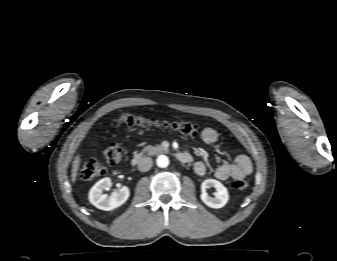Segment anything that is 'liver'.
Returning <instances> with one entry per match:
<instances>
[{
	"mask_svg": "<svg viewBox=\"0 0 337 261\" xmlns=\"http://www.w3.org/2000/svg\"><path fill=\"white\" fill-rule=\"evenodd\" d=\"M80 163H81V156H80V154H77L74 161H73V164H72L71 180H72L73 183H75V181H76V178H77V175H78V170H79V167H80Z\"/></svg>",
	"mask_w": 337,
	"mask_h": 261,
	"instance_id": "6515ba94",
	"label": "liver"
}]
</instances>
